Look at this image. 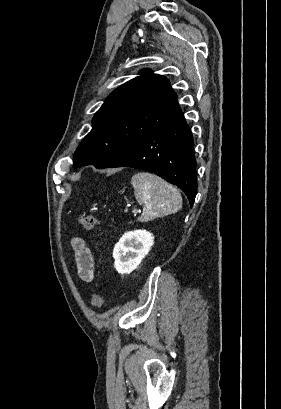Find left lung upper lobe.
Masks as SVG:
<instances>
[{"label": "left lung upper lobe", "mask_w": 281, "mask_h": 409, "mask_svg": "<svg viewBox=\"0 0 281 409\" xmlns=\"http://www.w3.org/2000/svg\"><path fill=\"white\" fill-rule=\"evenodd\" d=\"M113 91L93 118L74 154V166L101 169L122 151L174 116L180 107L170 81L149 70Z\"/></svg>", "instance_id": "1"}]
</instances>
